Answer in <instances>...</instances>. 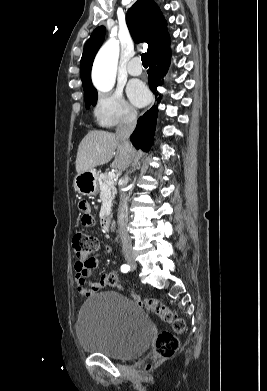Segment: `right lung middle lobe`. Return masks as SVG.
<instances>
[{
    "instance_id": "1",
    "label": "right lung middle lobe",
    "mask_w": 267,
    "mask_h": 391,
    "mask_svg": "<svg viewBox=\"0 0 267 391\" xmlns=\"http://www.w3.org/2000/svg\"><path fill=\"white\" fill-rule=\"evenodd\" d=\"M85 103H86V108H89L90 105H96L97 102V91L96 89L85 92Z\"/></svg>"
}]
</instances>
